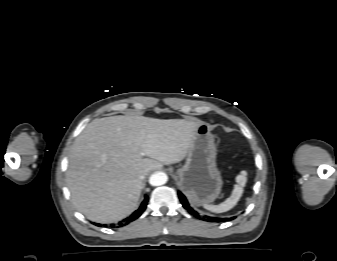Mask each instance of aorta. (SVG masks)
<instances>
[{
    "mask_svg": "<svg viewBox=\"0 0 337 261\" xmlns=\"http://www.w3.org/2000/svg\"><path fill=\"white\" fill-rule=\"evenodd\" d=\"M168 176L162 171L153 173L149 178V183L152 186H160L167 182Z\"/></svg>",
    "mask_w": 337,
    "mask_h": 261,
    "instance_id": "762f6f07",
    "label": "aorta"
}]
</instances>
